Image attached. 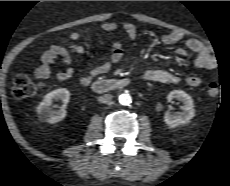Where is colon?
<instances>
[{
	"label": "colon",
	"mask_w": 230,
	"mask_h": 186,
	"mask_svg": "<svg viewBox=\"0 0 230 186\" xmlns=\"http://www.w3.org/2000/svg\"><path fill=\"white\" fill-rule=\"evenodd\" d=\"M40 89V85L34 82L26 75H17L13 81V96L17 99L30 98L35 96ZM219 85L211 82L206 86V93L210 97H214L219 93Z\"/></svg>",
	"instance_id": "colon-1"
}]
</instances>
